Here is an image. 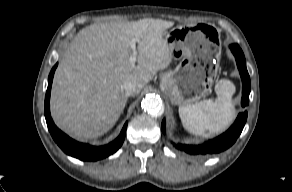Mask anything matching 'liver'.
Listing matches in <instances>:
<instances>
[{"label": "liver", "instance_id": "6515ba94", "mask_svg": "<svg viewBox=\"0 0 292 192\" xmlns=\"http://www.w3.org/2000/svg\"><path fill=\"white\" fill-rule=\"evenodd\" d=\"M172 21L145 18L93 24L72 40L56 70L51 115L77 137L96 138L117 122L127 103L122 89L131 81L139 94L173 58L163 38ZM138 39L137 65L130 63L131 40Z\"/></svg>", "mask_w": 292, "mask_h": 192}]
</instances>
